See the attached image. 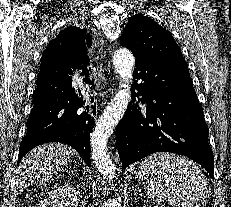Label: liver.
<instances>
[{"label":"liver","instance_id":"liver-1","mask_svg":"<svg viewBox=\"0 0 231 207\" xmlns=\"http://www.w3.org/2000/svg\"><path fill=\"white\" fill-rule=\"evenodd\" d=\"M75 150L65 144L49 143L32 149L21 161L17 174V189L52 178L75 155Z\"/></svg>","mask_w":231,"mask_h":207}]
</instances>
